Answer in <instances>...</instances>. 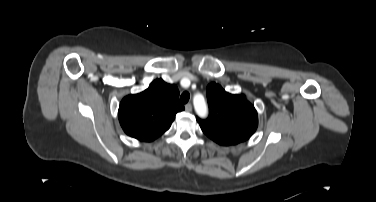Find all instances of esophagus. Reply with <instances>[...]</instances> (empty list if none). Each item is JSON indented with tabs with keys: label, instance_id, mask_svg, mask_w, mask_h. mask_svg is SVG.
<instances>
[{
	"label": "esophagus",
	"instance_id": "esophagus-1",
	"mask_svg": "<svg viewBox=\"0 0 376 202\" xmlns=\"http://www.w3.org/2000/svg\"><path fill=\"white\" fill-rule=\"evenodd\" d=\"M185 110H186L187 112H191V111H192V105H191L190 103L186 104V105H185Z\"/></svg>",
	"mask_w": 376,
	"mask_h": 202
}]
</instances>
